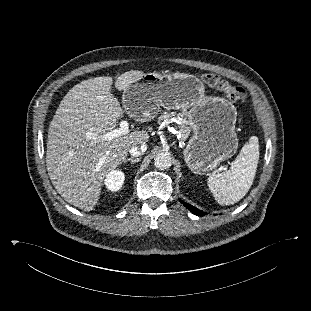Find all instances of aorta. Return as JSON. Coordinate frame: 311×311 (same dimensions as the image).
Returning a JSON list of instances; mask_svg holds the SVG:
<instances>
[{
  "mask_svg": "<svg viewBox=\"0 0 311 311\" xmlns=\"http://www.w3.org/2000/svg\"><path fill=\"white\" fill-rule=\"evenodd\" d=\"M171 156L168 153H158L154 158V165L161 170L167 169L171 166Z\"/></svg>",
  "mask_w": 311,
  "mask_h": 311,
  "instance_id": "aorta-1",
  "label": "aorta"
}]
</instances>
